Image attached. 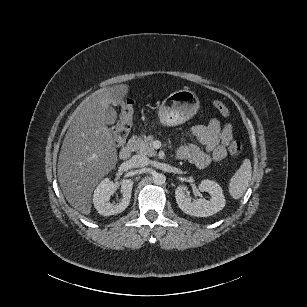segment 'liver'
<instances>
[{"label": "liver", "mask_w": 307, "mask_h": 307, "mask_svg": "<svg viewBox=\"0 0 307 307\" xmlns=\"http://www.w3.org/2000/svg\"><path fill=\"white\" fill-rule=\"evenodd\" d=\"M126 92L124 85L102 89L80 103L70 119L58 160V179L67 200L83 214L91 209V193L100 178L115 164L116 150L106 123L116 115L109 104ZM107 117V119H106Z\"/></svg>", "instance_id": "obj_1"}]
</instances>
